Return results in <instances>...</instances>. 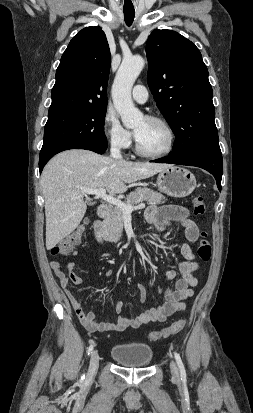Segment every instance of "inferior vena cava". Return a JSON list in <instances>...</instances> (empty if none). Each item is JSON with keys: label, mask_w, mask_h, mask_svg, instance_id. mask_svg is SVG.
Returning a JSON list of instances; mask_svg holds the SVG:
<instances>
[{"label": "inferior vena cava", "mask_w": 253, "mask_h": 413, "mask_svg": "<svg viewBox=\"0 0 253 413\" xmlns=\"http://www.w3.org/2000/svg\"><path fill=\"white\" fill-rule=\"evenodd\" d=\"M121 146L118 143V141L113 140L111 142V149H110V153H111V157L114 158L115 160H119L122 159V155H121Z\"/></svg>", "instance_id": "602c4592"}]
</instances>
